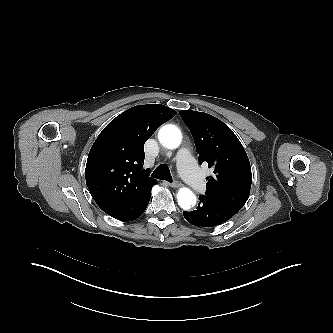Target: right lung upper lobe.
<instances>
[{"label":"right lung upper lobe","mask_w":333,"mask_h":333,"mask_svg":"<svg viewBox=\"0 0 333 333\" xmlns=\"http://www.w3.org/2000/svg\"><path fill=\"white\" fill-rule=\"evenodd\" d=\"M176 111L161 105L132 107L99 134L87 159L86 184L107 214L123 212L135 196L157 184L144 164V143Z\"/></svg>","instance_id":"cb5924a9"}]
</instances>
